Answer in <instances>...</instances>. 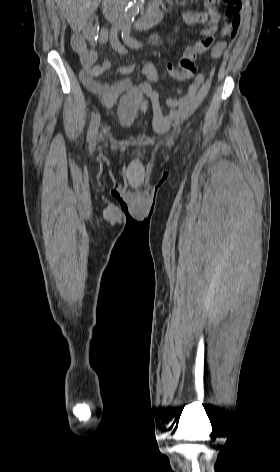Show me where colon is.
I'll return each instance as SVG.
<instances>
[{
    "label": "colon",
    "mask_w": 280,
    "mask_h": 472,
    "mask_svg": "<svg viewBox=\"0 0 280 472\" xmlns=\"http://www.w3.org/2000/svg\"><path fill=\"white\" fill-rule=\"evenodd\" d=\"M216 4L219 0H210ZM226 3V17L229 19L228 25L237 26L240 24V11L242 7L241 0H223ZM99 25L97 20L93 19L82 29V34L87 39L94 41L97 37ZM196 67L193 62L181 60L177 66L168 65L167 71L171 77L176 80H187L195 73Z\"/></svg>",
    "instance_id": "colon-1"
}]
</instances>
